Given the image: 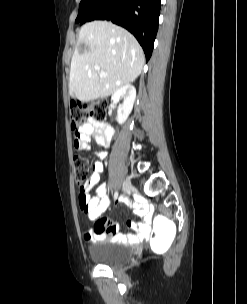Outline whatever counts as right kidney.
<instances>
[{"instance_id":"1","label":"right kidney","mask_w":247,"mask_h":304,"mask_svg":"<svg viewBox=\"0 0 247 304\" xmlns=\"http://www.w3.org/2000/svg\"><path fill=\"white\" fill-rule=\"evenodd\" d=\"M124 97V102L118 107L117 110V121L119 124H123L129 114L131 113L136 98V89L131 84H126L121 87L112 95L111 101L118 103L120 98Z\"/></svg>"}]
</instances>
